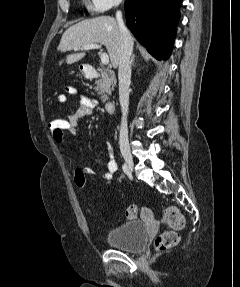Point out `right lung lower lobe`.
Instances as JSON below:
<instances>
[{
    "instance_id": "right-lung-lower-lobe-1",
    "label": "right lung lower lobe",
    "mask_w": 240,
    "mask_h": 287,
    "mask_svg": "<svg viewBox=\"0 0 240 287\" xmlns=\"http://www.w3.org/2000/svg\"><path fill=\"white\" fill-rule=\"evenodd\" d=\"M182 0H125L126 24L158 60L172 50Z\"/></svg>"
}]
</instances>
